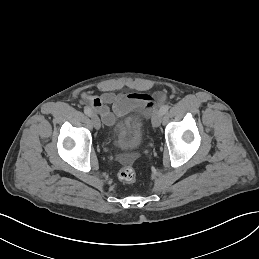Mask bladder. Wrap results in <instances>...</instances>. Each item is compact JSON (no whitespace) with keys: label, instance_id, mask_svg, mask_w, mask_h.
Masks as SVG:
<instances>
[{"label":"bladder","instance_id":"31cf9c89","mask_svg":"<svg viewBox=\"0 0 259 259\" xmlns=\"http://www.w3.org/2000/svg\"><path fill=\"white\" fill-rule=\"evenodd\" d=\"M134 133H135V136H136L137 138H139V137L141 136V131H140V129H138V128H135Z\"/></svg>","mask_w":259,"mask_h":259}]
</instances>
